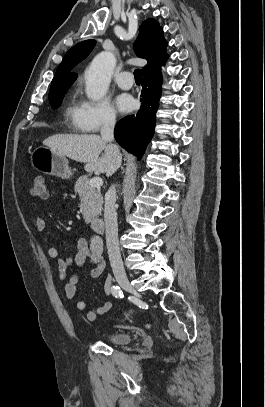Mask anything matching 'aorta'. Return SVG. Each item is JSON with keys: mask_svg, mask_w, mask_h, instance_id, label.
Wrapping results in <instances>:
<instances>
[{"mask_svg": "<svg viewBox=\"0 0 265 407\" xmlns=\"http://www.w3.org/2000/svg\"><path fill=\"white\" fill-rule=\"evenodd\" d=\"M116 64L111 52L99 53L85 71L86 94L93 101H100L106 94Z\"/></svg>", "mask_w": 265, "mask_h": 407, "instance_id": "aorta-1", "label": "aorta"}]
</instances>
